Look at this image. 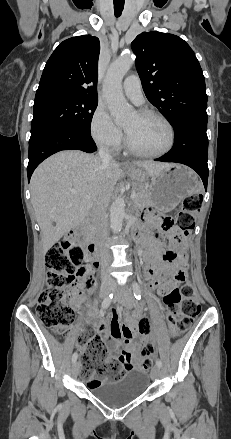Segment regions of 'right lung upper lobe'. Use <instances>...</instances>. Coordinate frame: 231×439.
<instances>
[{
	"label": "right lung upper lobe",
	"mask_w": 231,
	"mask_h": 439,
	"mask_svg": "<svg viewBox=\"0 0 231 439\" xmlns=\"http://www.w3.org/2000/svg\"><path fill=\"white\" fill-rule=\"evenodd\" d=\"M100 42L91 35L69 38L47 61L35 99L54 94L97 98Z\"/></svg>",
	"instance_id": "cb5924a9"
}]
</instances>
